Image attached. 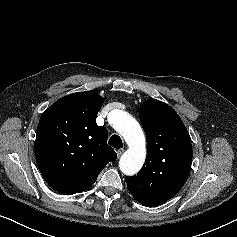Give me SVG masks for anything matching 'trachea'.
I'll use <instances>...</instances> for the list:
<instances>
[{"label":"trachea","instance_id":"3493384b","mask_svg":"<svg viewBox=\"0 0 237 237\" xmlns=\"http://www.w3.org/2000/svg\"><path fill=\"white\" fill-rule=\"evenodd\" d=\"M109 145L116 149H120L123 147L122 139L118 135H112L108 141Z\"/></svg>","mask_w":237,"mask_h":237}]
</instances>
